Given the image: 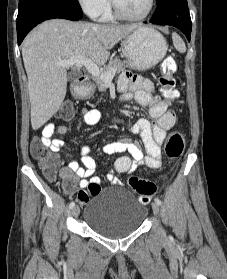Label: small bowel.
Segmentation results:
<instances>
[{
  "label": "small bowel",
  "mask_w": 227,
  "mask_h": 279,
  "mask_svg": "<svg viewBox=\"0 0 227 279\" xmlns=\"http://www.w3.org/2000/svg\"><path fill=\"white\" fill-rule=\"evenodd\" d=\"M120 96L118 105H122L131 100H135L140 106L148 108L149 115L153 119H140L129 127L132 133L138 134L141 138L146 154H143L138 145L130 140L124 139L108 143L103 151L112 155L127 151L129 156H122L115 160L112 170L107 174L108 181L118 183V173H131L138 165H145L150 169H158L161 166V145L163 144L166 133L176 121L174 111L167 110V103L161 97L154 95V88L149 80L141 79L133 74L125 73L121 75L118 82ZM82 119L87 125H95L100 119V112L96 109H81ZM67 132L66 126L61 122L50 120L43 128L44 145L54 154H57L65 145L63 139L54 138V134L64 135ZM81 166L77 161H70L61 170V176L65 179L64 186L72 181H79L82 189L90 187L92 183L100 186V178L95 176L97 163L91 155L90 147L85 145L81 149ZM100 189V188H99ZM72 194V191H66ZM87 194L86 191H83ZM81 205L88 201L86 198H77Z\"/></svg>",
  "instance_id": "obj_1"
}]
</instances>
